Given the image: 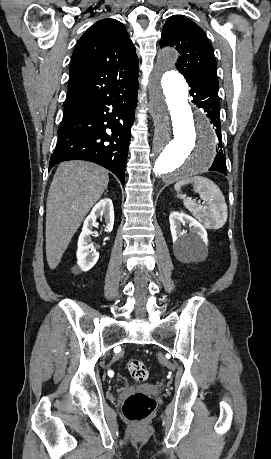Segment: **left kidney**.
<instances>
[{
  "label": "left kidney",
  "instance_id": "1",
  "mask_svg": "<svg viewBox=\"0 0 271 459\" xmlns=\"http://www.w3.org/2000/svg\"><path fill=\"white\" fill-rule=\"evenodd\" d=\"M171 235L173 239V249L180 253V255H191V253H198L202 243H208L207 231L206 229L188 216L184 212H172L169 216ZM188 224L190 226V233H186L184 229L181 228Z\"/></svg>",
  "mask_w": 271,
  "mask_h": 459
}]
</instances>
